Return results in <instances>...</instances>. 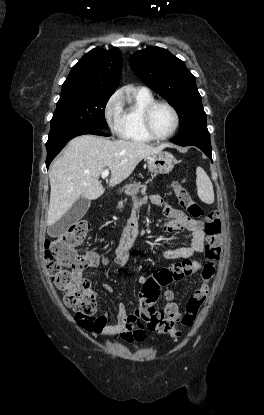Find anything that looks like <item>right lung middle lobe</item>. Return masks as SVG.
Segmentation results:
<instances>
[{"instance_id":"dd1d6c3e","label":"right lung middle lobe","mask_w":264,"mask_h":415,"mask_svg":"<svg viewBox=\"0 0 264 415\" xmlns=\"http://www.w3.org/2000/svg\"><path fill=\"white\" fill-rule=\"evenodd\" d=\"M112 94L63 95L50 121L46 147L87 129H107L104 110Z\"/></svg>"}]
</instances>
